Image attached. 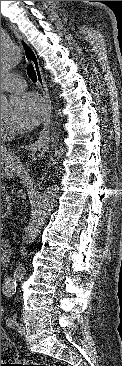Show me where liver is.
Segmentation results:
<instances>
[{
    "mask_svg": "<svg viewBox=\"0 0 122 366\" xmlns=\"http://www.w3.org/2000/svg\"><path fill=\"white\" fill-rule=\"evenodd\" d=\"M26 174L25 168L21 164L19 158L1 145V179L3 178H24Z\"/></svg>",
    "mask_w": 122,
    "mask_h": 366,
    "instance_id": "1",
    "label": "liver"
}]
</instances>
